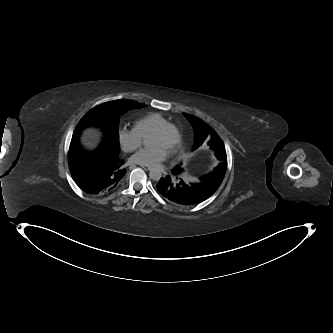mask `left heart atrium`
<instances>
[{
	"mask_svg": "<svg viewBox=\"0 0 333 333\" xmlns=\"http://www.w3.org/2000/svg\"><path fill=\"white\" fill-rule=\"evenodd\" d=\"M167 151L157 146H147L136 152L130 159L140 165H158L166 156Z\"/></svg>",
	"mask_w": 333,
	"mask_h": 333,
	"instance_id": "39dd6f15",
	"label": "left heart atrium"
}]
</instances>
